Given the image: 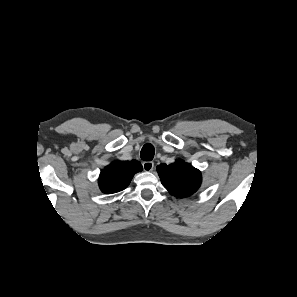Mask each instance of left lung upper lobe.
Returning <instances> with one entry per match:
<instances>
[{
	"label": "left lung upper lobe",
	"mask_w": 297,
	"mask_h": 297,
	"mask_svg": "<svg viewBox=\"0 0 297 297\" xmlns=\"http://www.w3.org/2000/svg\"><path fill=\"white\" fill-rule=\"evenodd\" d=\"M163 186L174 196L184 198L197 191L201 184V172L184 161L156 167Z\"/></svg>",
	"instance_id": "left-lung-upper-lobe-1"
}]
</instances>
